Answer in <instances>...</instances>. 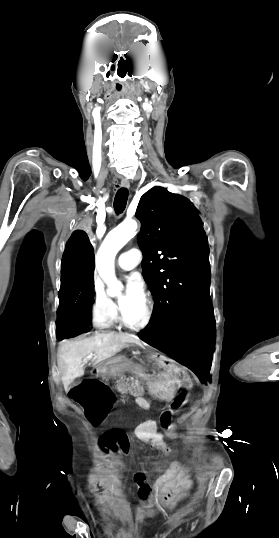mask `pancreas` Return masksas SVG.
Returning a JSON list of instances; mask_svg holds the SVG:
<instances>
[{"mask_svg":"<svg viewBox=\"0 0 279 538\" xmlns=\"http://www.w3.org/2000/svg\"><path fill=\"white\" fill-rule=\"evenodd\" d=\"M115 360H121V358H115ZM115 384L118 392H123V394L129 392L133 397L142 395L143 388L140 386L141 380H136V383H134L130 382L129 378H126V376H121L119 380H116Z\"/></svg>","mask_w":279,"mask_h":538,"instance_id":"obj_1","label":"pancreas"}]
</instances>
